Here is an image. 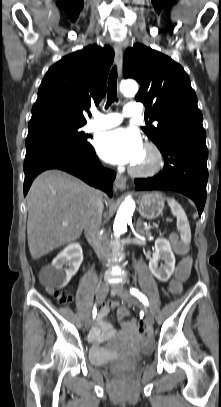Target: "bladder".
Listing matches in <instances>:
<instances>
[{
	"instance_id": "31cf9c89",
	"label": "bladder",
	"mask_w": 221,
	"mask_h": 407,
	"mask_svg": "<svg viewBox=\"0 0 221 407\" xmlns=\"http://www.w3.org/2000/svg\"><path fill=\"white\" fill-rule=\"evenodd\" d=\"M120 356L109 347H91L89 361L93 365H105L118 360Z\"/></svg>"
}]
</instances>
